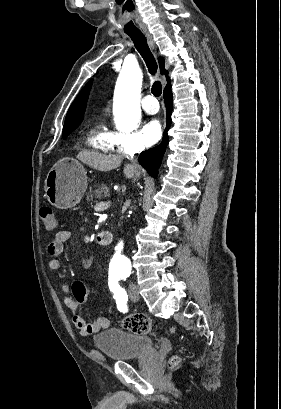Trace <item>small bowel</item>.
<instances>
[{"instance_id":"obj_1","label":"small bowel","mask_w":281,"mask_h":409,"mask_svg":"<svg viewBox=\"0 0 281 409\" xmlns=\"http://www.w3.org/2000/svg\"><path fill=\"white\" fill-rule=\"evenodd\" d=\"M71 238V232L67 229L60 230L55 239L49 244L48 251L52 258L49 260V268L53 271H59L61 268L60 256L64 252L65 243ZM63 290L64 304L71 314V321L78 329L80 335L88 336L106 330L110 327L109 319L100 317L94 322H87L79 313L80 304L85 303L90 294V287L82 281H74L71 284L63 280L61 282Z\"/></svg>"}]
</instances>
